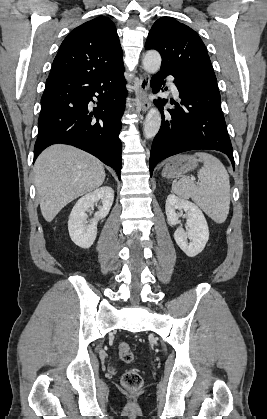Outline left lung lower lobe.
Wrapping results in <instances>:
<instances>
[{
	"label": "left lung lower lobe",
	"mask_w": 267,
	"mask_h": 419,
	"mask_svg": "<svg viewBox=\"0 0 267 419\" xmlns=\"http://www.w3.org/2000/svg\"><path fill=\"white\" fill-rule=\"evenodd\" d=\"M174 76L181 106L163 110L166 99L155 100L160 109L162 123L155 136L150 154V175L161 160L172 155L197 149L217 150L226 154L234 166L233 148L221 110L217 83L200 77L165 69L151 79L153 91H159L164 78Z\"/></svg>",
	"instance_id": "obj_1"
}]
</instances>
